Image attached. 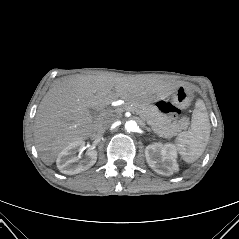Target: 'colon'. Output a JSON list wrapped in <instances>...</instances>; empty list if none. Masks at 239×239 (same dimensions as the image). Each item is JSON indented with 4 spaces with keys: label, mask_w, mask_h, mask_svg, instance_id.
I'll return each mask as SVG.
<instances>
[{
    "label": "colon",
    "mask_w": 239,
    "mask_h": 239,
    "mask_svg": "<svg viewBox=\"0 0 239 239\" xmlns=\"http://www.w3.org/2000/svg\"><path fill=\"white\" fill-rule=\"evenodd\" d=\"M185 97V94L183 93V98ZM159 108L160 110L171 116V117H176L179 114V110L176 106H174L172 103L167 102V101H161L159 103Z\"/></svg>",
    "instance_id": "5ec220e1"
}]
</instances>
